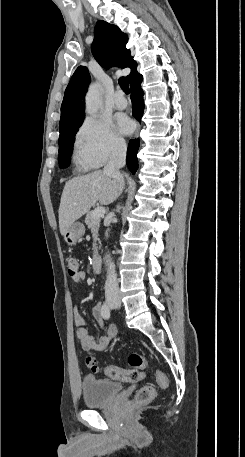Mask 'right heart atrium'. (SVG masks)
<instances>
[{
	"mask_svg": "<svg viewBox=\"0 0 245 457\" xmlns=\"http://www.w3.org/2000/svg\"><path fill=\"white\" fill-rule=\"evenodd\" d=\"M77 145L95 164H102L108 158L122 153L125 141L107 119L87 116L79 127Z\"/></svg>",
	"mask_w": 245,
	"mask_h": 457,
	"instance_id": "1",
	"label": "right heart atrium"
}]
</instances>
